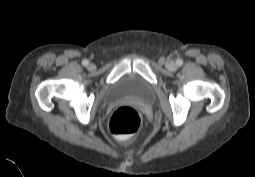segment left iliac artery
<instances>
[{
    "mask_svg": "<svg viewBox=\"0 0 255 177\" xmlns=\"http://www.w3.org/2000/svg\"><path fill=\"white\" fill-rule=\"evenodd\" d=\"M183 64V61L181 59L177 60V65L181 66Z\"/></svg>",
    "mask_w": 255,
    "mask_h": 177,
    "instance_id": "obj_1",
    "label": "left iliac artery"
}]
</instances>
